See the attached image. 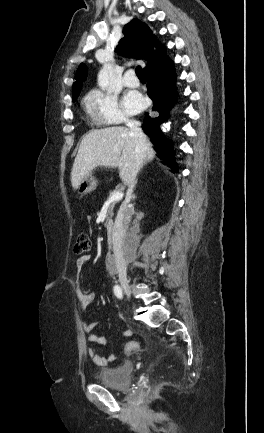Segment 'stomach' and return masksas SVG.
Instances as JSON below:
<instances>
[{
  "label": "stomach",
  "mask_w": 264,
  "mask_h": 433,
  "mask_svg": "<svg viewBox=\"0 0 264 433\" xmlns=\"http://www.w3.org/2000/svg\"><path fill=\"white\" fill-rule=\"evenodd\" d=\"M97 187V181L95 180L92 173L86 175L80 182L77 190L79 194H87Z\"/></svg>",
  "instance_id": "0dacf381"
}]
</instances>
